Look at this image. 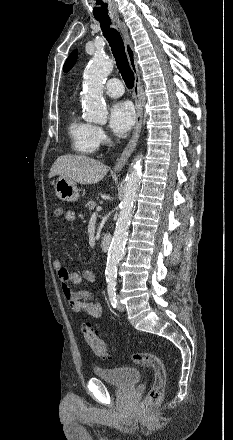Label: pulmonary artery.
Segmentation results:
<instances>
[{"mask_svg":"<svg viewBox=\"0 0 233 440\" xmlns=\"http://www.w3.org/2000/svg\"><path fill=\"white\" fill-rule=\"evenodd\" d=\"M105 92L111 97H120L124 92V88L119 79L112 78L105 84Z\"/></svg>","mask_w":233,"mask_h":440,"instance_id":"1","label":"pulmonary artery"}]
</instances>
